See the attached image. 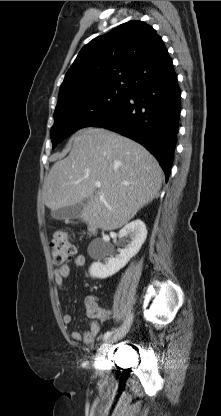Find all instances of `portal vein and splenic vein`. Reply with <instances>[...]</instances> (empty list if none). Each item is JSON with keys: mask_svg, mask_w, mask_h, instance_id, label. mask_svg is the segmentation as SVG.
Returning <instances> with one entry per match:
<instances>
[{"mask_svg": "<svg viewBox=\"0 0 221 416\" xmlns=\"http://www.w3.org/2000/svg\"><path fill=\"white\" fill-rule=\"evenodd\" d=\"M95 186L99 188V187H101V183L97 182V183H95Z\"/></svg>", "mask_w": 221, "mask_h": 416, "instance_id": "portal-vein-and-splenic-vein-1", "label": "portal vein and splenic vein"}]
</instances>
